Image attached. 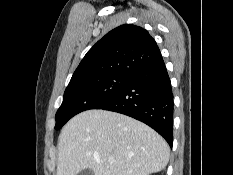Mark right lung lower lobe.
Segmentation results:
<instances>
[{"label": "right lung lower lobe", "mask_w": 233, "mask_h": 175, "mask_svg": "<svg viewBox=\"0 0 233 175\" xmlns=\"http://www.w3.org/2000/svg\"><path fill=\"white\" fill-rule=\"evenodd\" d=\"M96 109L133 117L173 145V93L163 59L133 75L110 100Z\"/></svg>", "instance_id": "right-lung-lower-lobe-1"}]
</instances>
